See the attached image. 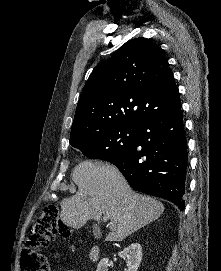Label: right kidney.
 I'll return each instance as SVG.
<instances>
[{"mask_svg":"<svg viewBox=\"0 0 221 271\" xmlns=\"http://www.w3.org/2000/svg\"><path fill=\"white\" fill-rule=\"evenodd\" d=\"M123 253L126 257L127 271H137L142 259V245L141 243H131L128 247H124ZM109 263L108 257L100 259L96 271H108Z\"/></svg>","mask_w":221,"mask_h":271,"instance_id":"ca27d5eb","label":"right kidney"}]
</instances>
